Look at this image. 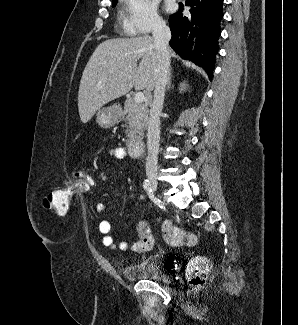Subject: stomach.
<instances>
[{
    "label": "stomach",
    "instance_id": "stomach-1",
    "mask_svg": "<svg viewBox=\"0 0 298 325\" xmlns=\"http://www.w3.org/2000/svg\"><path fill=\"white\" fill-rule=\"evenodd\" d=\"M121 110L119 106H103L96 112V120L103 128H111L119 120Z\"/></svg>",
    "mask_w": 298,
    "mask_h": 325
}]
</instances>
